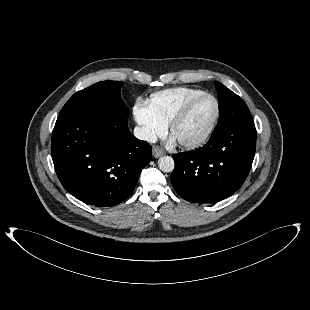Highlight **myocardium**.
I'll return each instance as SVG.
<instances>
[{"label": "myocardium", "instance_id": "myocardium-1", "mask_svg": "<svg viewBox=\"0 0 310 310\" xmlns=\"http://www.w3.org/2000/svg\"><path fill=\"white\" fill-rule=\"evenodd\" d=\"M203 98H210L213 100V102L215 104V112H214L213 118L210 121L209 125L207 126L205 131L200 136H198L197 138H194L192 140H187V141L177 140L179 145H181L182 147H184L186 149H195V148L202 146L204 143L207 142V140L212 135V133H213V131L217 125V122L219 120V116H220V105H219L217 98L215 96H213L212 94H209V93H201L195 97H192L191 99H189L187 102H185L182 105V107L177 111V113L172 117V119L169 122V132L172 136H174V132H175L177 125L179 123H181L186 118V116L188 115L192 106L197 101H199Z\"/></svg>", "mask_w": 310, "mask_h": 310}]
</instances>
